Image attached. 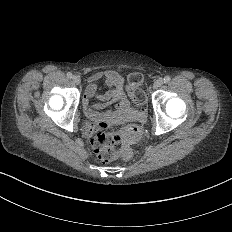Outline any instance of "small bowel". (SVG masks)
Here are the masks:
<instances>
[{"instance_id":"small-bowel-1","label":"small bowel","mask_w":232,"mask_h":232,"mask_svg":"<svg viewBox=\"0 0 232 232\" xmlns=\"http://www.w3.org/2000/svg\"><path fill=\"white\" fill-rule=\"evenodd\" d=\"M104 82L113 89L105 94L99 93L100 83ZM94 99L106 100L109 108L104 114L98 113ZM83 107L87 117L91 121L105 123L116 113L124 112L128 109L129 103L122 91L121 80L112 69H102L94 74L88 81V87L82 97Z\"/></svg>"}]
</instances>
